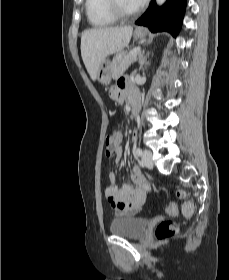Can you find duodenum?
Segmentation results:
<instances>
[{"label":"duodenum","instance_id":"duodenum-1","mask_svg":"<svg viewBox=\"0 0 229 280\" xmlns=\"http://www.w3.org/2000/svg\"><path fill=\"white\" fill-rule=\"evenodd\" d=\"M130 106L134 117H137L140 111V98L137 93H132L130 96Z\"/></svg>","mask_w":229,"mask_h":280}]
</instances>
